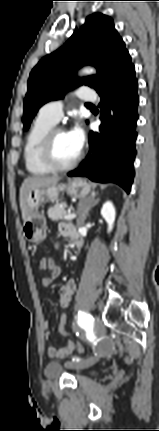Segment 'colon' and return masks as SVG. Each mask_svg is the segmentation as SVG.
I'll return each instance as SVG.
<instances>
[{"label": "colon", "mask_w": 159, "mask_h": 431, "mask_svg": "<svg viewBox=\"0 0 159 431\" xmlns=\"http://www.w3.org/2000/svg\"><path fill=\"white\" fill-rule=\"evenodd\" d=\"M47 263H46V268L48 269V272L53 273L56 270V267L54 265V261L55 258L52 255H49L47 257ZM51 282H54V279H51ZM68 318L69 315L66 312L61 313V317H60V321L58 324V336L59 337H66L67 336V331H66V325L68 322ZM71 342H76V337H71ZM76 347H78V350H75V355H82L83 354V350H84V346H83V342L82 341H77L76 342Z\"/></svg>", "instance_id": "colon-1"}]
</instances>
